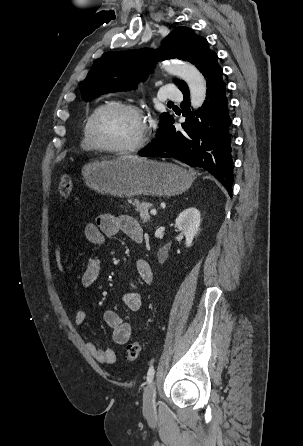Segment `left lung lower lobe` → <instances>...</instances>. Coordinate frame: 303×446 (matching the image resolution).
<instances>
[{
    "label": "left lung lower lobe",
    "instance_id": "1",
    "mask_svg": "<svg viewBox=\"0 0 303 446\" xmlns=\"http://www.w3.org/2000/svg\"><path fill=\"white\" fill-rule=\"evenodd\" d=\"M207 81V96L198 111H190L189 89L182 91L181 103L183 130L177 131L174 119L159 129L157 139L139 152L143 157H173L192 167H201L219 180L232 195L233 161L229 126L228 102L225 97L226 84L223 69L217 62V55L210 58L202 71Z\"/></svg>",
    "mask_w": 303,
    "mask_h": 446
}]
</instances>
